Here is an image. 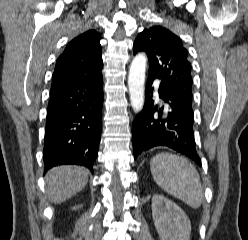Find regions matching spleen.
<instances>
[{"instance_id": "spleen-1", "label": "spleen", "mask_w": 248, "mask_h": 240, "mask_svg": "<svg viewBox=\"0 0 248 240\" xmlns=\"http://www.w3.org/2000/svg\"><path fill=\"white\" fill-rule=\"evenodd\" d=\"M150 169L164 191L192 208L200 207L203 189L198 171L190 161L171 153H160L151 159Z\"/></svg>"}]
</instances>
